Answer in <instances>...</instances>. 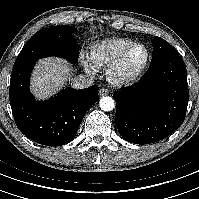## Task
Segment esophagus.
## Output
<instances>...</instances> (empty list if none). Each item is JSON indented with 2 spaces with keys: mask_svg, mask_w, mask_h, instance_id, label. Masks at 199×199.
Instances as JSON below:
<instances>
[{
  "mask_svg": "<svg viewBox=\"0 0 199 199\" xmlns=\"http://www.w3.org/2000/svg\"><path fill=\"white\" fill-rule=\"evenodd\" d=\"M109 93V91H108V89H106V88H101L100 90H99V95L100 96H105V95H107Z\"/></svg>",
  "mask_w": 199,
  "mask_h": 199,
  "instance_id": "1",
  "label": "esophagus"
}]
</instances>
